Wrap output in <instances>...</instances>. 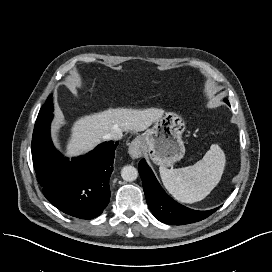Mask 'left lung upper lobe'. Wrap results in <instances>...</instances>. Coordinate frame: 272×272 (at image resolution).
Here are the masks:
<instances>
[{
    "mask_svg": "<svg viewBox=\"0 0 272 272\" xmlns=\"http://www.w3.org/2000/svg\"><path fill=\"white\" fill-rule=\"evenodd\" d=\"M225 102H226L227 104H229V102H228V100H227V99H225Z\"/></svg>",
    "mask_w": 272,
    "mask_h": 272,
    "instance_id": "5c2ea615",
    "label": "left lung upper lobe"
}]
</instances>
